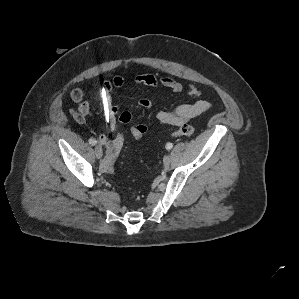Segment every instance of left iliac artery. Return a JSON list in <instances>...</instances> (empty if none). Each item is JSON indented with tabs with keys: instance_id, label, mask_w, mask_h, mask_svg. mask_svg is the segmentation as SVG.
<instances>
[{
	"instance_id": "left-iliac-artery-1",
	"label": "left iliac artery",
	"mask_w": 299,
	"mask_h": 299,
	"mask_svg": "<svg viewBox=\"0 0 299 299\" xmlns=\"http://www.w3.org/2000/svg\"><path fill=\"white\" fill-rule=\"evenodd\" d=\"M172 147H173V144H172V143H167V144H166V149H167V150H170Z\"/></svg>"
}]
</instances>
